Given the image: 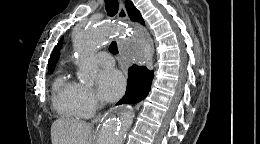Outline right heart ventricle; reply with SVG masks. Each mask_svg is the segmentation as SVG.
<instances>
[{
	"label": "right heart ventricle",
	"mask_w": 260,
	"mask_h": 144,
	"mask_svg": "<svg viewBox=\"0 0 260 144\" xmlns=\"http://www.w3.org/2000/svg\"><path fill=\"white\" fill-rule=\"evenodd\" d=\"M78 84L67 76H58L53 84V106L67 118L84 117L77 100Z\"/></svg>",
	"instance_id": "e07e8e85"
}]
</instances>
